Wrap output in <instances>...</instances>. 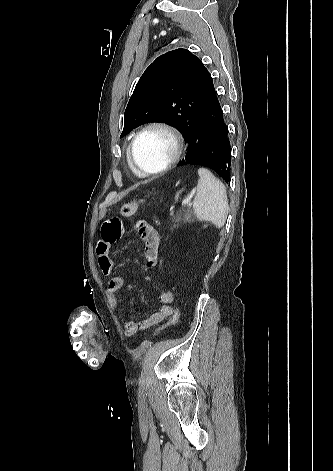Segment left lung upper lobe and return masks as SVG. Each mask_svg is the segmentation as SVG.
Here are the masks:
<instances>
[{
  "label": "left lung upper lobe",
  "mask_w": 333,
  "mask_h": 471,
  "mask_svg": "<svg viewBox=\"0 0 333 471\" xmlns=\"http://www.w3.org/2000/svg\"><path fill=\"white\" fill-rule=\"evenodd\" d=\"M213 87L210 73L190 51L176 49L159 56L135 87L120 137L144 123L166 121L187 141Z\"/></svg>",
  "instance_id": "left-lung-upper-lobe-1"
}]
</instances>
